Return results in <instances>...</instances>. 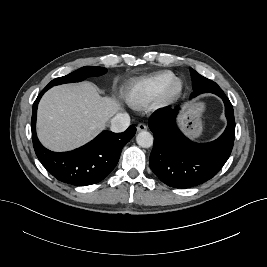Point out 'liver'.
<instances>
[{"mask_svg": "<svg viewBox=\"0 0 267 267\" xmlns=\"http://www.w3.org/2000/svg\"><path fill=\"white\" fill-rule=\"evenodd\" d=\"M121 109L115 99L101 97L90 82L53 87L39 103L38 137L53 151L77 148L97 136Z\"/></svg>", "mask_w": 267, "mask_h": 267, "instance_id": "obj_1", "label": "liver"}]
</instances>
